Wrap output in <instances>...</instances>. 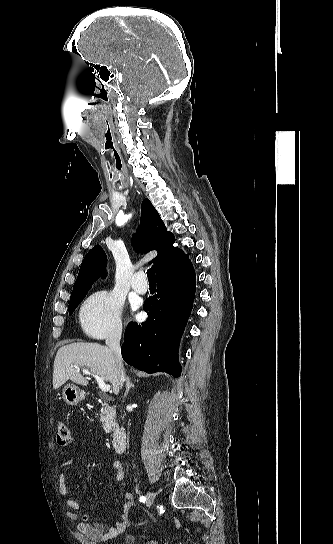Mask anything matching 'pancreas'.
<instances>
[{
	"mask_svg": "<svg viewBox=\"0 0 333 544\" xmlns=\"http://www.w3.org/2000/svg\"><path fill=\"white\" fill-rule=\"evenodd\" d=\"M116 410L110 406L102 407L100 410V422L106 433H110L116 426L114 418Z\"/></svg>",
	"mask_w": 333,
	"mask_h": 544,
	"instance_id": "cf45deb5",
	"label": "pancreas"
}]
</instances>
